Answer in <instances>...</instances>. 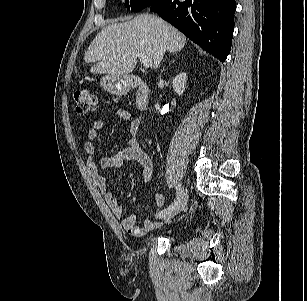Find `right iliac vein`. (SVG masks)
I'll list each match as a JSON object with an SVG mask.
<instances>
[{"label": "right iliac vein", "mask_w": 307, "mask_h": 301, "mask_svg": "<svg viewBox=\"0 0 307 301\" xmlns=\"http://www.w3.org/2000/svg\"><path fill=\"white\" fill-rule=\"evenodd\" d=\"M187 200H188V193L185 190V191H183L182 195L180 196L179 200L177 201L174 209L168 215H166L163 218V220L167 222L171 218H173L176 214L181 212L186 207Z\"/></svg>", "instance_id": "obj_1"}]
</instances>
